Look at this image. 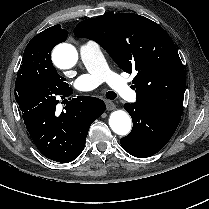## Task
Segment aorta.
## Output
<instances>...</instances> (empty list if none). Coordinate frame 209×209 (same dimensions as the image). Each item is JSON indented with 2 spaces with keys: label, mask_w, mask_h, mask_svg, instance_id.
I'll use <instances>...</instances> for the list:
<instances>
[{
  "label": "aorta",
  "mask_w": 209,
  "mask_h": 209,
  "mask_svg": "<svg viewBox=\"0 0 209 209\" xmlns=\"http://www.w3.org/2000/svg\"><path fill=\"white\" fill-rule=\"evenodd\" d=\"M54 63L61 69L73 67L78 59L76 48L68 43L56 46L52 54ZM109 126L118 135H127L132 127L130 116L123 110H116L109 117Z\"/></svg>",
  "instance_id": "1"
}]
</instances>
